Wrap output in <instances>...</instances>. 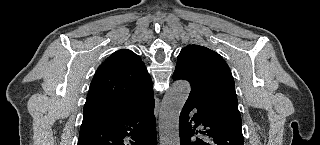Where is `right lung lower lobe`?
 <instances>
[{
    "instance_id": "1",
    "label": "right lung lower lobe",
    "mask_w": 320,
    "mask_h": 145,
    "mask_svg": "<svg viewBox=\"0 0 320 145\" xmlns=\"http://www.w3.org/2000/svg\"><path fill=\"white\" fill-rule=\"evenodd\" d=\"M78 145H156L154 97L126 115L82 124Z\"/></svg>"
}]
</instances>
